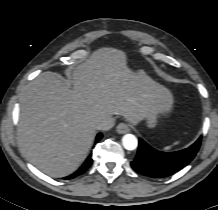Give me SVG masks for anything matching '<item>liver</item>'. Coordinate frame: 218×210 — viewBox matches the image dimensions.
<instances>
[{
	"mask_svg": "<svg viewBox=\"0 0 218 210\" xmlns=\"http://www.w3.org/2000/svg\"><path fill=\"white\" fill-rule=\"evenodd\" d=\"M72 83L44 73L20 99L21 146L30 162L52 177L78 169L99 122L116 114L137 124L154 106L164 113L173 107L171 92L143 70H131L126 55L117 49L95 51L73 71Z\"/></svg>",
	"mask_w": 218,
	"mask_h": 210,
	"instance_id": "obj_1",
	"label": "liver"
}]
</instances>
